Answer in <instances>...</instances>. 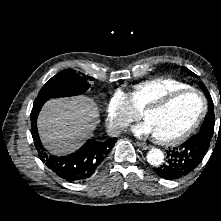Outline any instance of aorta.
Segmentation results:
<instances>
[{
	"label": "aorta",
	"instance_id": "762f6f07",
	"mask_svg": "<svg viewBox=\"0 0 221 221\" xmlns=\"http://www.w3.org/2000/svg\"><path fill=\"white\" fill-rule=\"evenodd\" d=\"M147 162L153 166H159L163 163L164 154L160 149L153 148L147 153Z\"/></svg>",
	"mask_w": 221,
	"mask_h": 221
}]
</instances>
